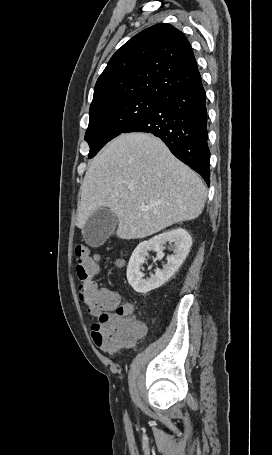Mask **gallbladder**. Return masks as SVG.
<instances>
[{
	"mask_svg": "<svg viewBox=\"0 0 272 455\" xmlns=\"http://www.w3.org/2000/svg\"><path fill=\"white\" fill-rule=\"evenodd\" d=\"M118 225L117 216L108 208H99L87 220L82 228L85 242L97 247L102 245Z\"/></svg>",
	"mask_w": 272,
	"mask_h": 455,
	"instance_id": "gallbladder-1",
	"label": "gallbladder"
}]
</instances>
